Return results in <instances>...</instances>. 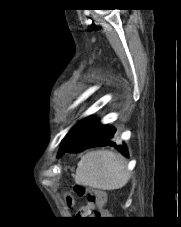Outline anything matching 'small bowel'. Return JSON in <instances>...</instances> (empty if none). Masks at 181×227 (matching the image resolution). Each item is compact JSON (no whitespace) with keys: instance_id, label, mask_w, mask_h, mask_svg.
<instances>
[{"instance_id":"c3829d8e","label":"small bowel","mask_w":181,"mask_h":227,"mask_svg":"<svg viewBox=\"0 0 181 227\" xmlns=\"http://www.w3.org/2000/svg\"><path fill=\"white\" fill-rule=\"evenodd\" d=\"M93 208L92 204H88L87 206L80 209V213L82 214H89L91 209Z\"/></svg>"}]
</instances>
